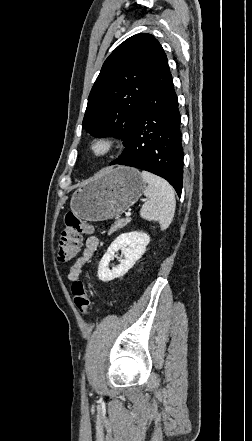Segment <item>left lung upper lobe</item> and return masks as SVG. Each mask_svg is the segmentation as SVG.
I'll list each match as a JSON object with an SVG mask.
<instances>
[{"label": "left lung upper lobe", "instance_id": "1", "mask_svg": "<svg viewBox=\"0 0 252 441\" xmlns=\"http://www.w3.org/2000/svg\"><path fill=\"white\" fill-rule=\"evenodd\" d=\"M163 52L150 34L134 35L106 59L90 95L82 126L96 137L129 140Z\"/></svg>", "mask_w": 252, "mask_h": 441}]
</instances>
